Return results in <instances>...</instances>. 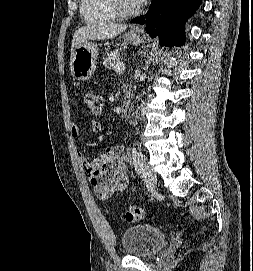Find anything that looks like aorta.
<instances>
[{
    "instance_id": "762f6f07",
    "label": "aorta",
    "mask_w": 253,
    "mask_h": 271,
    "mask_svg": "<svg viewBox=\"0 0 253 271\" xmlns=\"http://www.w3.org/2000/svg\"><path fill=\"white\" fill-rule=\"evenodd\" d=\"M158 45H159V38L156 37V39L154 40V42H153V44H152V49H151V52H150V56H148V59H147L146 62H145V70H148L150 63H151L152 60H153L154 53H155V51H156L157 48H158ZM145 76H146L145 73L142 74L141 80H143V78H145Z\"/></svg>"
}]
</instances>
